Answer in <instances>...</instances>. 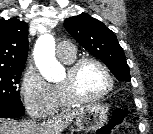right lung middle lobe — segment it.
<instances>
[{
	"instance_id": "dd1d6c3e",
	"label": "right lung middle lobe",
	"mask_w": 153,
	"mask_h": 134,
	"mask_svg": "<svg viewBox=\"0 0 153 134\" xmlns=\"http://www.w3.org/2000/svg\"><path fill=\"white\" fill-rule=\"evenodd\" d=\"M24 67L0 68V103L22 105L17 84Z\"/></svg>"
}]
</instances>
